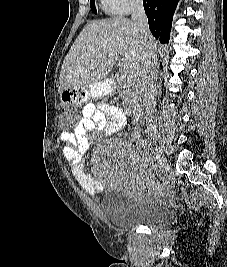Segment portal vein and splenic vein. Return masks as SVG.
<instances>
[{
	"instance_id": "portal-vein-and-splenic-vein-1",
	"label": "portal vein and splenic vein",
	"mask_w": 227,
	"mask_h": 267,
	"mask_svg": "<svg viewBox=\"0 0 227 267\" xmlns=\"http://www.w3.org/2000/svg\"><path fill=\"white\" fill-rule=\"evenodd\" d=\"M136 76L130 71H124V81H126L129 85L134 84Z\"/></svg>"
}]
</instances>
